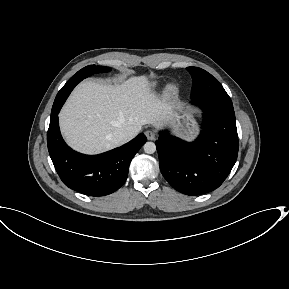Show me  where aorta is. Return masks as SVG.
I'll return each mask as SVG.
<instances>
[{
  "label": "aorta",
  "instance_id": "obj_1",
  "mask_svg": "<svg viewBox=\"0 0 289 289\" xmlns=\"http://www.w3.org/2000/svg\"><path fill=\"white\" fill-rule=\"evenodd\" d=\"M145 153L152 154L156 151V145L153 142H146L143 146Z\"/></svg>",
  "mask_w": 289,
  "mask_h": 289
}]
</instances>
